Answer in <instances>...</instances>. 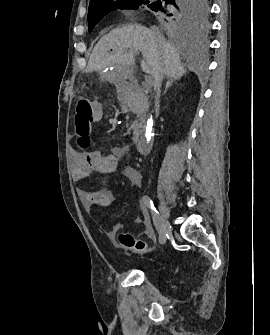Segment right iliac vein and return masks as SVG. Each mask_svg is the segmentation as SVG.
Returning a JSON list of instances; mask_svg holds the SVG:
<instances>
[{
    "label": "right iliac vein",
    "instance_id": "right-iliac-vein-1",
    "mask_svg": "<svg viewBox=\"0 0 270 335\" xmlns=\"http://www.w3.org/2000/svg\"><path fill=\"white\" fill-rule=\"evenodd\" d=\"M159 210L161 213L162 225L164 227V230L169 231L171 228L170 222H169V209L163 200H160L159 202Z\"/></svg>",
    "mask_w": 270,
    "mask_h": 335
}]
</instances>
